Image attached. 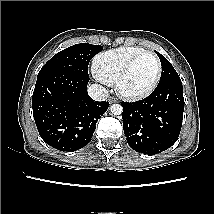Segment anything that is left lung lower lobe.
<instances>
[{
  "label": "left lung lower lobe",
  "instance_id": "left-lung-lower-lobe-1",
  "mask_svg": "<svg viewBox=\"0 0 214 214\" xmlns=\"http://www.w3.org/2000/svg\"><path fill=\"white\" fill-rule=\"evenodd\" d=\"M121 105L124 133L133 150L153 155L177 141L184 111L180 79L160 83L145 99Z\"/></svg>",
  "mask_w": 214,
  "mask_h": 214
}]
</instances>
